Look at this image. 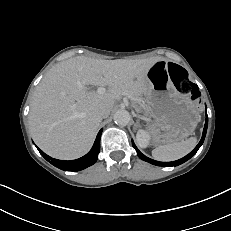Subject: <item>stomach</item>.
<instances>
[{"mask_svg":"<svg viewBox=\"0 0 231 231\" xmlns=\"http://www.w3.org/2000/svg\"><path fill=\"white\" fill-rule=\"evenodd\" d=\"M145 101L153 118L149 130L153 143L179 142L193 133L200 119L199 106L173 83L167 62L157 61L147 71Z\"/></svg>","mask_w":231,"mask_h":231,"instance_id":"0dacf381","label":"stomach"}]
</instances>
